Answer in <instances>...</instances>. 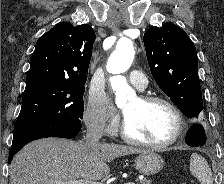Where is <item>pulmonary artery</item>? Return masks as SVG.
Instances as JSON below:
<instances>
[{
	"mask_svg": "<svg viewBox=\"0 0 224 184\" xmlns=\"http://www.w3.org/2000/svg\"><path fill=\"white\" fill-rule=\"evenodd\" d=\"M129 80L138 90H144L148 84L146 76L137 70H133L129 73Z\"/></svg>",
	"mask_w": 224,
	"mask_h": 184,
	"instance_id": "1",
	"label": "pulmonary artery"
}]
</instances>
